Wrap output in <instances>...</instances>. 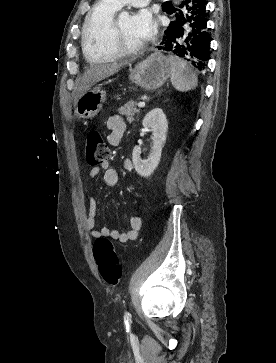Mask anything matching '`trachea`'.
Segmentation results:
<instances>
[{
    "label": "trachea",
    "mask_w": 276,
    "mask_h": 363,
    "mask_svg": "<svg viewBox=\"0 0 276 363\" xmlns=\"http://www.w3.org/2000/svg\"><path fill=\"white\" fill-rule=\"evenodd\" d=\"M171 3L169 2V1H167V2H164L163 3V6H166V5H170Z\"/></svg>",
    "instance_id": "1"
}]
</instances>
